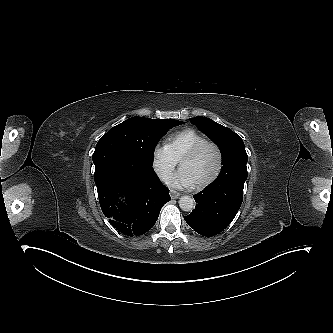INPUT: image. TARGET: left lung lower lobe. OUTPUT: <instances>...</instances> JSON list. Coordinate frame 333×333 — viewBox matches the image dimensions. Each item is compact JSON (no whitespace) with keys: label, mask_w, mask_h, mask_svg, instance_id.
<instances>
[{"label":"left lung lower lobe","mask_w":333,"mask_h":333,"mask_svg":"<svg viewBox=\"0 0 333 333\" xmlns=\"http://www.w3.org/2000/svg\"><path fill=\"white\" fill-rule=\"evenodd\" d=\"M243 184L215 180L194 196L195 209L184 217L197 233L210 237L223 231L236 216L243 201Z\"/></svg>","instance_id":"1"}]
</instances>
